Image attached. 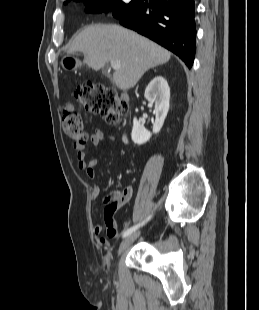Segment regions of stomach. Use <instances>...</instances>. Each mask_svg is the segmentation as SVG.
I'll list each match as a JSON object with an SVG mask.
<instances>
[{"mask_svg": "<svg viewBox=\"0 0 259 310\" xmlns=\"http://www.w3.org/2000/svg\"><path fill=\"white\" fill-rule=\"evenodd\" d=\"M80 65L81 63L76 57H74L72 53H67L62 57L61 66L67 71L76 70L78 67H80Z\"/></svg>", "mask_w": 259, "mask_h": 310, "instance_id": "1", "label": "stomach"}]
</instances>
